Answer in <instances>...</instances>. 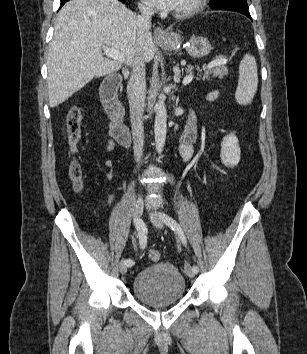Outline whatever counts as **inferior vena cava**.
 <instances>
[{
  "label": "inferior vena cava",
  "mask_w": 307,
  "mask_h": 354,
  "mask_svg": "<svg viewBox=\"0 0 307 354\" xmlns=\"http://www.w3.org/2000/svg\"><path fill=\"white\" fill-rule=\"evenodd\" d=\"M141 15L137 18L139 34L142 38L149 32L154 9L140 5ZM133 71L127 83V95L130 106V118L133 135V148L136 162L139 164L143 154L144 127L143 114L146 98L145 62L141 56L134 59Z\"/></svg>",
  "instance_id": "602c4592"
}]
</instances>
